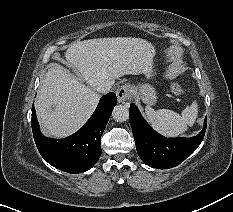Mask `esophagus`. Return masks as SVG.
Wrapping results in <instances>:
<instances>
[{"label": "esophagus", "instance_id": "obj_1", "mask_svg": "<svg viewBox=\"0 0 233 212\" xmlns=\"http://www.w3.org/2000/svg\"><path fill=\"white\" fill-rule=\"evenodd\" d=\"M116 95L119 102L129 101L133 96L132 87L127 84L122 85L117 89Z\"/></svg>", "mask_w": 233, "mask_h": 212}]
</instances>
